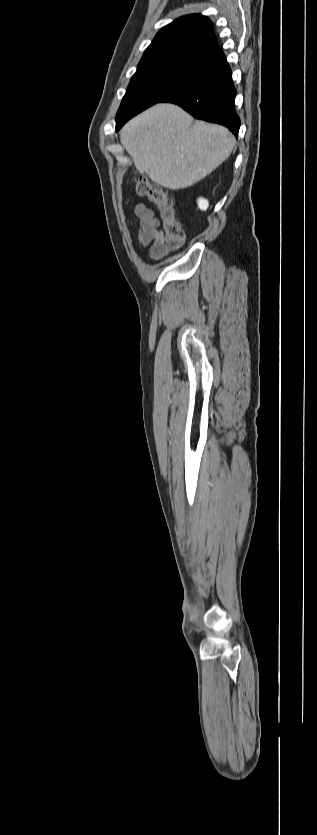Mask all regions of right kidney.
Wrapping results in <instances>:
<instances>
[{"mask_svg":"<svg viewBox=\"0 0 317 835\" xmlns=\"http://www.w3.org/2000/svg\"><path fill=\"white\" fill-rule=\"evenodd\" d=\"M197 203H198V207H199V209H200V210H202V211L207 210V208H208V206H209V202H208V200H207V199H204V198H199V199H198V201H197Z\"/></svg>","mask_w":317,"mask_h":835,"instance_id":"ca27d5eb","label":"right kidney"}]
</instances>
